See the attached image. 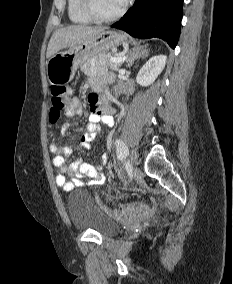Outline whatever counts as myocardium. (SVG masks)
<instances>
[{
  "label": "myocardium",
  "instance_id": "f54148a6",
  "mask_svg": "<svg viewBox=\"0 0 233 284\" xmlns=\"http://www.w3.org/2000/svg\"><path fill=\"white\" fill-rule=\"evenodd\" d=\"M83 8L87 15L97 22H112L119 19L126 11V3L122 7L111 15H104L100 13L96 7L95 0H83Z\"/></svg>",
  "mask_w": 233,
  "mask_h": 284
}]
</instances>
